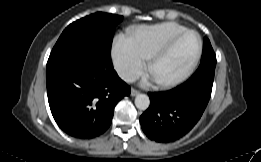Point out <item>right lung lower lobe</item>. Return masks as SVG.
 Returning <instances> with one entry per match:
<instances>
[{"label": "right lung lower lobe", "instance_id": "98d812e1", "mask_svg": "<svg viewBox=\"0 0 261 162\" xmlns=\"http://www.w3.org/2000/svg\"><path fill=\"white\" fill-rule=\"evenodd\" d=\"M46 83L55 121L64 132L81 139L104 133L115 105L130 94V87L113 69L110 51L91 44L52 51Z\"/></svg>", "mask_w": 261, "mask_h": 162}]
</instances>
